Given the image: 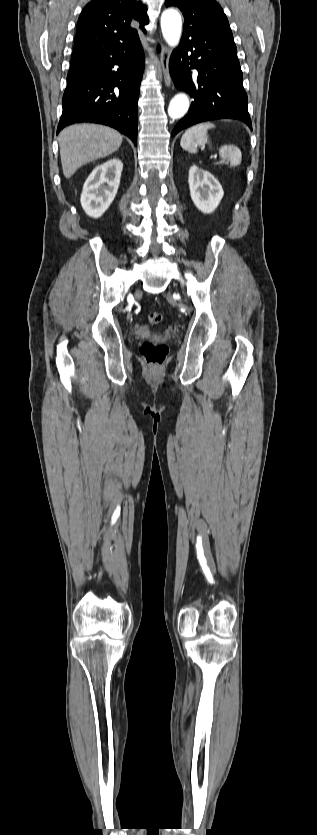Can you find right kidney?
Returning <instances> with one entry per match:
<instances>
[{
  "instance_id": "1",
  "label": "right kidney",
  "mask_w": 317,
  "mask_h": 835,
  "mask_svg": "<svg viewBox=\"0 0 317 835\" xmlns=\"http://www.w3.org/2000/svg\"><path fill=\"white\" fill-rule=\"evenodd\" d=\"M123 163L111 158L96 166L84 183L81 205L87 215L99 218L114 200L120 184Z\"/></svg>"
}]
</instances>
